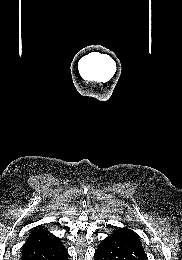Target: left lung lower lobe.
Wrapping results in <instances>:
<instances>
[{"label": "left lung lower lobe", "mask_w": 182, "mask_h": 260, "mask_svg": "<svg viewBox=\"0 0 182 260\" xmlns=\"http://www.w3.org/2000/svg\"><path fill=\"white\" fill-rule=\"evenodd\" d=\"M94 260H147V255L139 236L128 228H121L101 241Z\"/></svg>", "instance_id": "obj_1"}]
</instances>
